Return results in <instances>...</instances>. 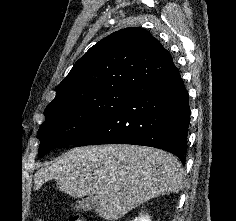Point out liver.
I'll use <instances>...</instances> for the list:
<instances>
[{
  "mask_svg": "<svg viewBox=\"0 0 236 221\" xmlns=\"http://www.w3.org/2000/svg\"><path fill=\"white\" fill-rule=\"evenodd\" d=\"M183 174L178 158L161 149L86 146L71 149L39 169L34 189L55 180L59 191L71 197L93 195L96 214L114 221L152 198L181 190Z\"/></svg>",
  "mask_w": 236,
  "mask_h": 221,
  "instance_id": "1",
  "label": "liver"
}]
</instances>
